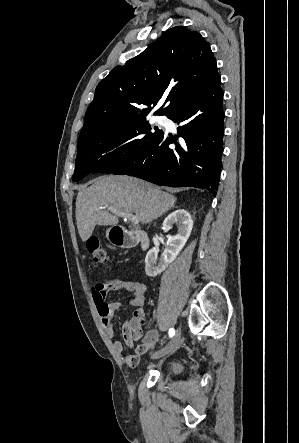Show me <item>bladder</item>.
I'll return each instance as SVG.
<instances>
[{"label":"bladder","mask_w":299,"mask_h":443,"mask_svg":"<svg viewBox=\"0 0 299 443\" xmlns=\"http://www.w3.org/2000/svg\"><path fill=\"white\" fill-rule=\"evenodd\" d=\"M182 364L180 361H169L164 366V373L169 375H177L182 372Z\"/></svg>","instance_id":"obj_1"}]
</instances>
